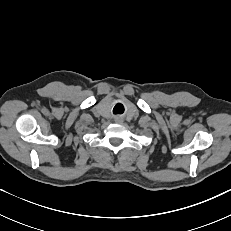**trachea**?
Instances as JSON below:
<instances>
[{
	"mask_svg": "<svg viewBox=\"0 0 231 231\" xmlns=\"http://www.w3.org/2000/svg\"><path fill=\"white\" fill-rule=\"evenodd\" d=\"M124 111V108L121 104H117L114 108H113V113L114 114H121Z\"/></svg>",
	"mask_w": 231,
	"mask_h": 231,
	"instance_id": "1",
	"label": "trachea"
}]
</instances>
